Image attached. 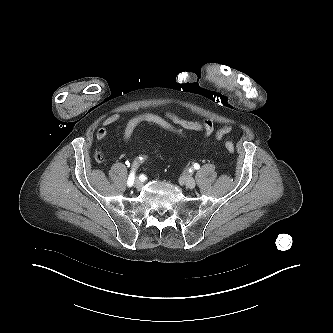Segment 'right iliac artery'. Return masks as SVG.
I'll return each instance as SVG.
<instances>
[{"label": "right iliac artery", "mask_w": 333, "mask_h": 333, "mask_svg": "<svg viewBox=\"0 0 333 333\" xmlns=\"http://www.w3.org/2000/svg\"><path fill=\"white\" fill-rule=\"evenodd\" d=\"M140 160H142V157H139ZM134 176H135V172L134 170L130 173L129 177H128V181H127V185L128 187H131L133 185L134 182Z\"/></svg>", "instance_id": "right-iliac-artery-1"}]
</instances>
